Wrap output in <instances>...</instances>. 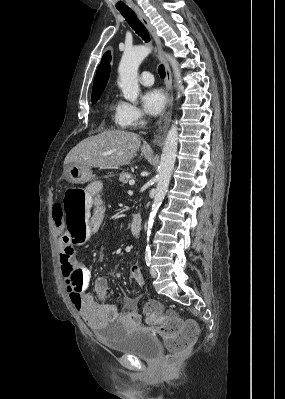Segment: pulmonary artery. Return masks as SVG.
Masks as SVG:
<instances>
[{"label":"pulmonary artery","mask_w":285,"mask_h":399,"mask_svg":"<svg viewBox=\"0 0 285 399\" xmlns=\"http://www.w3.org/2000/svg\"><path fill=\"white\" fill-rule=\"evenodd\" d=\"M139 82L145 86L152 85L154 82L152 74L148 71L142 72L139 78Z\"/></svg>","instance_id":"e3ab8cb5"}]
</instances>
